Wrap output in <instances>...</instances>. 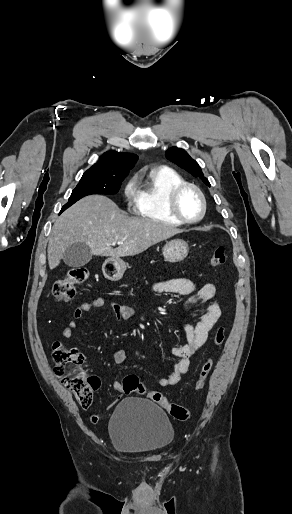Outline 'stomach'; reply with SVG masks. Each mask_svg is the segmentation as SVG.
<instances>
[{
  "label": "stomach",
  "instance_id": "stomach-1",
  "mask_svg": "<svg viewBox=\"0 0 292 514\" xmlns=\"http://www.w3.org/2000/svg\"><path fill=\"white\" fill-rule=\"evenodd\" d=\"M165 262H182L186 256H188L189 248L187 242L184 240H171L167 242L164 248H162ZM126 270V264L120 258H108L105 260L102 266V272L111 282H118L121 280Z\"/></svg>",
  "mask_w": 292,
  "mask_h": 514
}]
</instances>
